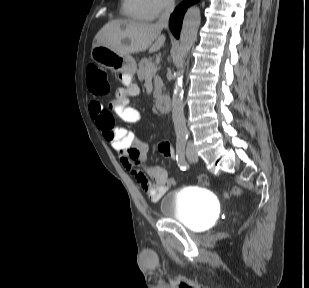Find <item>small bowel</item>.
Listing matches in <instances>:
<instances>
[{
    "mask_svg": "<svg viewBox=\"0 0 309 288\" xmlns=\"http://www.w3.org/2000/svg\"><path fill=\"white\" fill-rule=\"evenodd\" d=\"M122 82L123 85L117 89L110 107L105 108L99 102L92 101L89 105L90 114L103 139L119 154L121 165L140 185L147 197L157 202L172 186L166 170L159 166H150V181L138 167L139 163L147 159L148 144L131 130L114 126L113 114L126 123H138L141 120L140 112L129 106L130 99L138 94L139 88L127 78H123ZM158 149L166 158L176 159L175 151L169 142L159 143Z\"/></svg>",
    "mask_w": 309,
    "mask_h": 288,
    "instance_id": "small-bowel-1",
    "label": "small bowel"
}]
</instances>
